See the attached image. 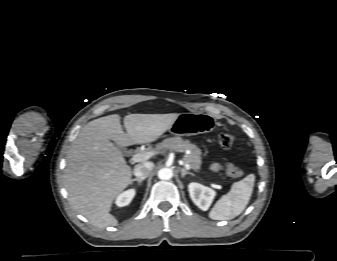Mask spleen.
Listing matches in <instances>:
<instances>
[{
    "label": "spleen",
    "instance_id": "spleen-1",
    "mask_svg": "<svg viewBox=\"0 0 337 261\" xmlns=\"http://www.w3.org/2000/svg\"><path fill=\"white\" fill-rule=\"evenodd\" d=\"M254 183V174L233 183L231 190L215 203L209 217L213 220H230L240 215L249 203Z\"/></svg>",
    "mask_w": 337,
    "mask_h": 261
}]
</instances>
